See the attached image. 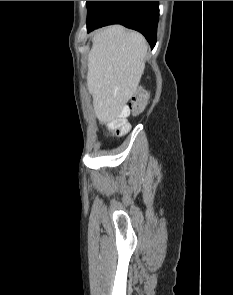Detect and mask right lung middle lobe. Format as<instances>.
I'll return each instance as SVG.
<instances>
[{"label": "right lung middle lobe", "mask_w": 233, "mask_h": 295, "mask_svg": "<svg viewBox=\"0 0 233 295\" xmlns=\"http://www.w3.org/2000/svg\"><path fill=\"white\" fill-rule=\"evenodd\" d=\"M90 2H91V1H87V6L89 5Z\"/></svg>", "instance_id": "right-lung-middle-lobe-1"}]
</instances>
